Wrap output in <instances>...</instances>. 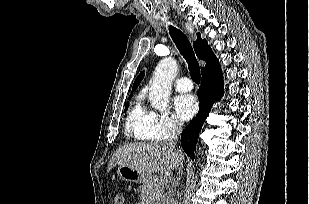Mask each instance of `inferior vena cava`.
<instances>
[{"label":"inferior vena cava","mask_w":309,"mask_h":204,"mask_svg":"<svg viewBox=\"0 0 309 204\" xmlns=\"http://www.w3.org/2000/svg\"><path fill=\"white\" fill-rule=\"evenodd\" d=\"M182 128H183V124L179 121H176L174 123V127H173V130H172V135L170 136V138L168 139L167 143L175 148V145L177 144V141H178V137L182 131ZM179 154H180V157L178 159V164H177V168H178V177L176 178V180L173 182L172 184V188L171 190H169V193L171 191H173V188L176 187V185L178 184V182L180 181L181 179V175H182V167H183V156L181 155V151H177ZM166 202L167 204H176L171 198H169L168 196H166Z\"/></svg>","instance_id":"obj_1"}]
</instances>
